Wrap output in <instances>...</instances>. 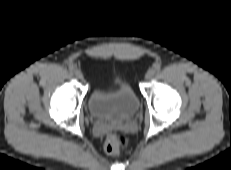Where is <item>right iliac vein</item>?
<instances>
[{
    "label": "right iliac vein",
    "instance_id": "obj_1",
    "mask_svg": "<svg viewBox=\"0 0 231 170\" xmlns=\"http://www.w3.org/2000/svg\"><path fill=\"white\" fill-rule=\"evenodd\" d=\"M74 74H75L76 78H78L79 80L84 79V76H83V74H82V72L80 70H75Z\"/></svg>",
    "mask_w": 231,
    "mask_h": 170
}]
</instances>
